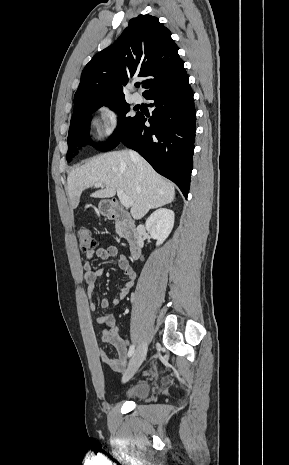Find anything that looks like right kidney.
<instances>
[{
  "mask_svg": "<svg viewBox=\"0 0 289 465\" xmlns=\"http://www.w3.org/2000/svg\"><path fill=\"white\" fill-rule=\"evenodd\" d=\"M174 212L161 208L153 212L146 221V229L152 238L156 239V245H161L171 233L174 226Z\"/></svg>",
  "mask_w": 289,
  "mask_h": 465,
  "instance_id": "right-kidney-1",
  "label": "right kidney"
}]
</instances>
